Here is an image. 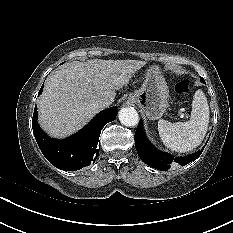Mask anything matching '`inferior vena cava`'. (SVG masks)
Wrapping results in <instances>:
<instances>
[{
  "label": "inferior vena cava",
  "instance_id": "obj_1",
  "mask_svg": "<svg viewBox=\"0 0 233 233\" xmlns=\"http://www.w3.org/2000/svg\"><path fill=\"white\" fill-rule=\"evenodd\" d=\"M98 102L99 105L103 108L109 106L112 103L108 98H100Z\"/></svg>",
  "mask_w": 233,
  "mask_h": 233
}]
</instances>
